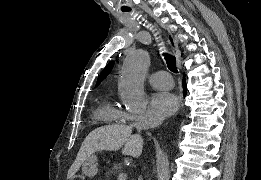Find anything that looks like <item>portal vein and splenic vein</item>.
<instances>
[{
  "label": "portal vein and splenic vein",
  "instance_id": "18ae733b",
  "mask_svg": "<svg viewBox=\"0 0 261 180\" xmlns=\"http://www.w3.org/2000/svg\"><path fill=\"white\" fill-rule=\"evenodd\" d=\"M118 180H127V174H119Z\"/></svg>",
  "mask_w": 261,
  "mask_h": 180
}]
</instances>
